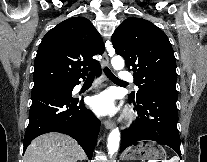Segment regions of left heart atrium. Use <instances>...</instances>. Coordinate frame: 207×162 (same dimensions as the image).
Masks as SVG:
<instances>
[{"label":"left heart atrium","mask_w":207,"mask_h":162,"mask_svg":"<svg viewBox=\"0 0 207 162\" xmlns=\"http://www.w3.org/2000/svg\"><path fill=\"white\" fill-rule=\"evenodd\" d=\"M90 106L100 116H111L119 111V105L111 90H106L90 99Z\"/></svg>","instance_id":"obj_1"}]
</instances>
